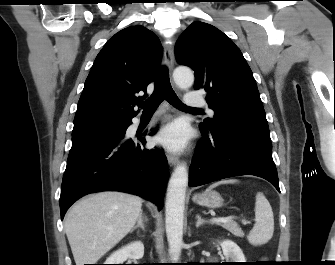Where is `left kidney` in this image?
Here are the masks:
<instances>
[{
  "instance_id": "5707ae66",
  "label": "left kidney",
  "mask_w": 335,
  "mask_h": 265,
  "mask_svg": "<svg viewBox=\"0 0 335 265\" xmlns=\"http://www.w3.org/2000/svg\"><path fill=\"white\" fill-rule=\"evenodd\" d=\"M222 247L223 254L230 262H245V257L240 247L231 240H224L219 243Z\"/></svg>"
}]
</instances>
